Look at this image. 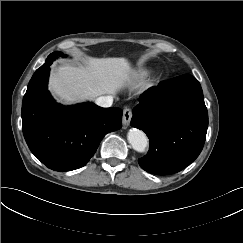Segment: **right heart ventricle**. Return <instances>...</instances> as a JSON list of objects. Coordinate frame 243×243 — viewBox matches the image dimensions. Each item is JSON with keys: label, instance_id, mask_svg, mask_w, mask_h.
Segmentation results:
<instances>
[{"label": "right heart ventricle", "instance_id": "obj_1", "mask_svg": "<svg viewBox=\"0 0 243 243\" xmlns=\"http://www.w3.org/2000/svg\"><path fill=\"white\" fill-rule=\"evenodd\" d=\"M146 74H147V71H145V70H141V71L138 72L137 76H138V77H143V76L146 75Z\"/></svg>", "mask_w": 243, "mask_h": 243}]
</instances>
